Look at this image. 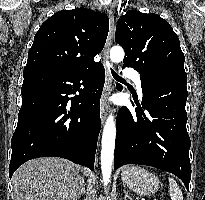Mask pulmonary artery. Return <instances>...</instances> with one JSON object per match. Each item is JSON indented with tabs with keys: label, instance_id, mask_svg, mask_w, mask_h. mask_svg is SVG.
Listing matches in <instances>:
<instances>
[{
	"label": "pulmonary artery",
	"instance_id": "pulmonary-artery-1",
	"mask_svg": "<svg viewBox=\"0 0 205 200\" xmlns=\"http://www.w3.org/2000/svg\"><path fill=\"white\" fill-rule=\"evenodd\" d=\"M124 75L131 79L135 85H136V88H137V91L140 95H142V86H141V78H140V75L134 71V70H131V69H127L124 71Z\"/></svg>",
	"mask_w": 205,
	"mask_h": 200
}]
</instances>
